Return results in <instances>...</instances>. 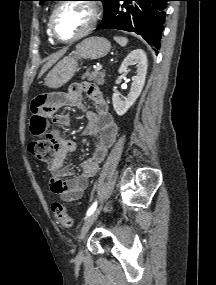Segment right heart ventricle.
Wrapping results in <instances>:
<instances>
[{"mask_svg": "<svg viewBox=\"0 0 216 285\" xmlns=\"http://www.w3.org/2000/svg\"><path fill=\"white\" fill-rule=\"evenodd\" d=\"M47 35H48L49 41H50L51 43H54V40L52 39V37H51V35H50V32H49L48 24H47Z\"/></svg>", "mask_w": 216, "mask_h": 285, "instance_id": "obj_1", "label": "right heart ventricle"}]
</instances>
